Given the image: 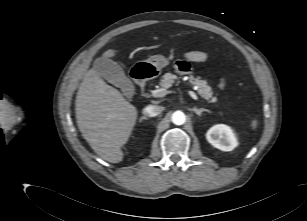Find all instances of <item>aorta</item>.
Here are the masks:
<instances>
[{"label": "aorta", "instance_id": "1", "mask_svg": "<svg viewBox=\"0 0 307 221\" xmlns=\"http://www.w3.org/2000/svg\"><path fill=\"white\" fill-rule=\"evenodd\" d=\"M171 120L175 125H182L186 121V116L182 111H175L171 116Z\"/></svg>", "mask_w": 307, "mask_h": 221}]
</instances>
